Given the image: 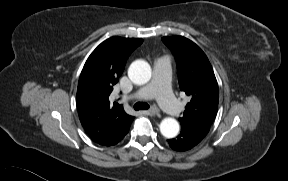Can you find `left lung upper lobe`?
<instances>
[{
	"mask_svg": "<svg viewBox=\"0 0 288 181\" xmlns=\"http://www.w3.org/2000/svg\"><path fill=\"white\" fill-rule=\"evenodd\" d=\"M178 66L180 89L191 97L179 118L181 125L209 129L218 110V84L205 53L183 36L163 37Z\"/></svg>",
	"mask_w": 288,
	"mask_h": 181,
	"instance_id": "obj_1",
	"label": "left lung upper lobe"
}]
</instances>
